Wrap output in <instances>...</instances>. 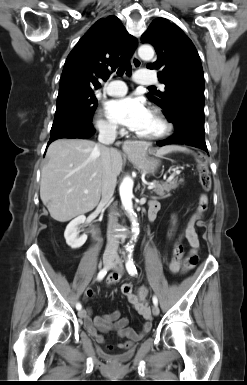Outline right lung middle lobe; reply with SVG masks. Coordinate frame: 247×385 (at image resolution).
Listing matches in <instances>:
<instances>
[{"label": "right lung middle lobe", "mask_w": 247, "mask_h": 385, "mask_svg": "<svg viewBox=\"0 0 247 385\" xmlns=\"http://www.w3.org/2000/svg\"><path fill=\"white\" fill-rule=\"evenodd\" d=\"M97 105L98 102L93 91L70 90L60 92L57 97L52 127L76 119L92 121Z\"/></svg>", "instance_id": "obj_1"}]
</instances>
